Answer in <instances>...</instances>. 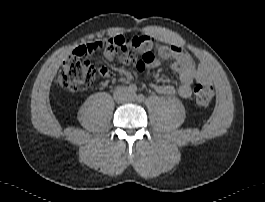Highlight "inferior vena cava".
<instances>
[{
	"mask_svg": "<svg viewBox=\"0 0 265 202\" xmlns=\"http://www.w3.org/2000/svg\"><path fill=\"white\" fill-rule=\"evenodd\" d=\"M129 92L126 87H117L114 92V99L116 102H126L129 99Z\"/></svg>",
	"mask_w": 265,
	"mask_h": 202,
	"instance_id": "1",
	"label": "inferior vena cava"
}]
</instances>
